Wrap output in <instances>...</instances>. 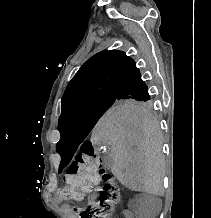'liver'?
Returning a JSON list of instances; mask_svg holds the SVG:
<instances>
[{
  "mask_svg": "<svg viewBox=\"0 0 211 218\" xmlns=\"http://www.w3.org/2000/svg\"><path fill=\"white\" fill-rule=\"evenodd\" d=\"M162 136L145 108L113 106L100 118L91 142H104L111 150L112 172L134 192L162 196L165 166Z\"/></svg>",
  "mask_w": 211,
  "mask_h": 218,
  "instance_id": "liver-1",
  "label": "liver"
}]
</instances>
